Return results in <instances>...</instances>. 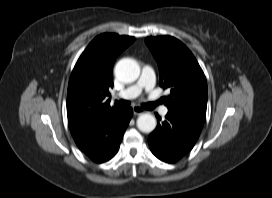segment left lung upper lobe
<instances>
[{"label": "left lung upper lobe", "mask_w": 272, "mask_h": 198, "mask_svg": "<svg viewBox=\"0 0 272 198\" xmlns=\"http://www.w3.org/2000/svg\"><path fill=\"white\" fill-rule=\"evenodd\" d=\"M145 42L157 60L160 86L170 88L162 98L168 111L205 121L207 82L191 51L171 36L147 37Z\"/></svg>", "instance_id": "left-lung-upper-lobe-1"}]
</instances>
